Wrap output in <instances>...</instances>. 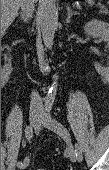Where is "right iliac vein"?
<instances>
[{"label": "right iliac vein", "instance_id": "right-iliac-vein-1", "mask_svg": "<svg viewBox=\"0 0 109 170\" xmlns=\"http://www.w3.org/2000/svg\"><path fill=\"white\" fill-rule=\"evenodd\" d=\"M39 120V112L37 110H31L29 113V123H30V127H34L35 124L38 122ZM25 161H23V165L22 167H18L20 169H25L28 164H29V158H25Z\"/></svg>", "mask_w": 109, "mask_h": 170}]
</instances>
